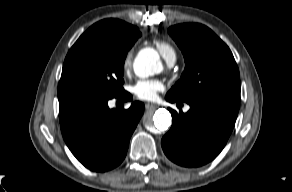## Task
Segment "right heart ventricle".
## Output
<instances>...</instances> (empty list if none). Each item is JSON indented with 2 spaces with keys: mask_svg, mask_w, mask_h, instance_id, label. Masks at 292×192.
Segmentation results:
<instances>
[{
  "mask_svg": "<svg viewBox=\"0 0 292 192\" xmlns=\"http://www.w3.org/2000/svg\"><path fill=\"white\" fill-rule=\"evenodd\" d=\"M154 45L161 56L168 62H174L177 56L176 50L171 43L165 40H154Z\"/></svg>",
  "mask_w": 292,
  "mask_h": 192,
  "instance_id": "right-heart-ventricle-1",
  "label": "right heart ventricle"
}]
</instances>
